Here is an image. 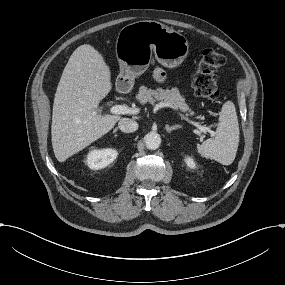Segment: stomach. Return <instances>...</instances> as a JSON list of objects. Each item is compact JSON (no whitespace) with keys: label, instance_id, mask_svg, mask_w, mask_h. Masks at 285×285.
Instances as JSON below:
<instances>
[{"label":"stomach","instance_id":"obj_1","mask_svg":"<svg viewBox=\"0 0 285 285\" xmlns=\"http://www.w3.org/2000/svg\"><path fill=\"white\" fill-rule=\"evenodd\" d=\"M188 50L187 38L160 22L142 20L128 24L119 31L116 39L120 66L117 82H133L135 77L143 74L153 53L160 64L173 68L183 62Z\"/></svg>","mask_w":285,"mask_h":285}]
</instances>
